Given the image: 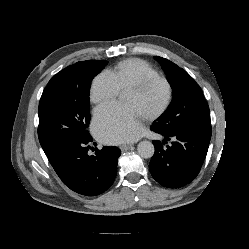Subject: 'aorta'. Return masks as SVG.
Returning a JSON list of instances; mask_svg holds the SVG:
<instances>
[{
    "label": "aorta",
    "instance_id": "1",
    "mask_svg": "<svg viewBox=\"0 0 249 249\" xmlns=\"http://www.w3.org/2000/svg\"><path fill=\"white\" fill-rule=\"evenodd\" d=\"M154 145L150 141H141L137 146V152L140 157L148 159L151 158L154 154Z\"/></svg>",
    "mask_w": 249,
    "mask_h": 249
}]
</instances>
